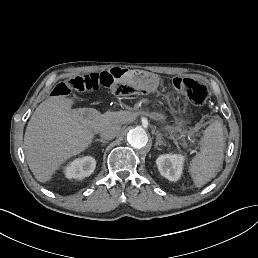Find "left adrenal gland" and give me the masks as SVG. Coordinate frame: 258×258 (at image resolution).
<instances>
[{
    "mask_svg": "<svg viewBox=\"0 0 258 258\" xmlns=\"http://www.w3.org/2000/svg\"><path fill=\"white\" fill-rule=\"evenodd\" d=\"M158 144H166V142L163 141V140L159 137V135H157L156 138H155L154 146L157 147Z\"/></svg>",
    "mask_w": 258,
    "mask_h": 258,
    "instance_id": "obj_1",
    "label": "left adrenal gland"
}]
</instances>
